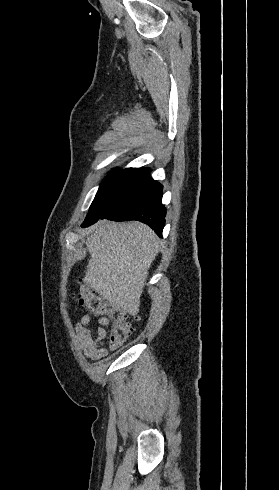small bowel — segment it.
<instances>
[{
    "instance_id": "obj_1",
    "label": "small bowel",
    "mask_w": 279,
    "mask_h": 490,
    "mask_svg": "<svg viewBox=\"0 0 279 490\" xmlns=\"http://www.w3.org/2000/svg\"><path fill=\"white\" fill-rule=\"evenodd\" d=\"M93 322L94 319L91 315H83L76 324L75 335L77 343L84 354L92 360H99L109 354V349L105 346L109 321L104 317H98L95 320L97 325L95 336H93L91 331Z\"/></svg>"
}]
</instances>
